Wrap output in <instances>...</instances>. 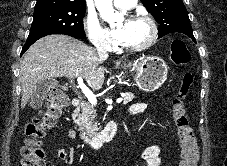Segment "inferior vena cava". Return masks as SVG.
<instances>
[{"label":"inferior vena cava","instance_id":"602c4592","mask_svg":"<svg viewBox=\"0 0 227 166\" xmlns=\"http://www.w3.org/2000/svg\"><path fill=\"white\" fill-rule=\"evenodd\" d=\"M96 50L101 61L108 58V51L106 45L102 41H96L95 43Z\"/></svg>","mask_w":227,"mask_h":166}]
</instances>
